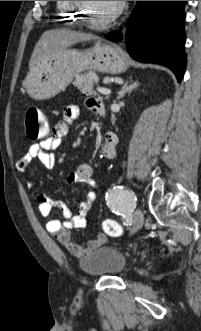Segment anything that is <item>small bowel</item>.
Wrapping results in <instances>:
<instances>
[{
    "mask_svg": "<svg viewBox=\"0 0 201 331\" xmlns=\"http://www.w3.org/2000/svg\"><path fill=\"white\" fill-rule=\"evenodd\" d=\"M88 108L98 115L104 114L102 103L95 99L87 100ZM79 116V108L75 105H68L63 110L62 118L52 127L49 135L41 141L34 143L28 147L26 152L17 160V170L25 174L29 164L34 159H39L46 167H53L56 163L55 151L61 145L62 139L67 135L69 125L77 120ZM117 145V136L113 132H107L104 136L102 146V156L111 160L115 157ZM69 184L83 183L92 188L98 186L93 178V171L89 164H81L72 172L68 178ZM30 187L33 186L32 181H28ZM96 199V194L93 190L86 192L84 200L78 204V210L73 213L70 208L59 200L49 198L47 195L40 193L37 195L38 211L40 215L47 219V231L74 257L84 258L91 250L98 247L101 243L97 240H90L84 245H79L71 240L70 231L72 229H81L86 226L87 214ZM53 207L58 208L63 220L50 218Z\"/></svg>",
    "mask_w": 201,
    "mask_h": 331,
    "instance_id": "1",
    "label": "small bowel"
}]
</instances>
